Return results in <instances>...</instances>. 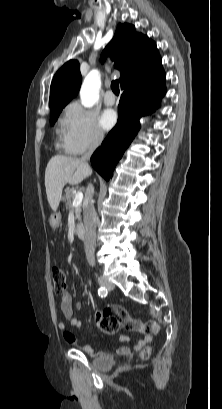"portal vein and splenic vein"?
I'll use <instances>...</instances> for the list:
<instances>
[{
    "instance_id": "portal-vein-and-splenic-vein-1",
    "label": "portal vein and splenic vein",
    "mask_w": 222,
    "mask_h": 409,
    "mask_svg": "<svg viewBox=\"0 0 222 409\" xmlns=\"http://www.w3.org/2000/svg\"><path fill=\"white\" fill-rule=\"evenodd\" d=\"M82 200H83V193H82V192H77V193L75 194L74 199H73V205H74V206L80 205L81 202H82Z\"/></svg>"
}]
</instances>
